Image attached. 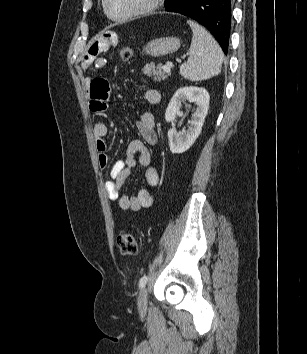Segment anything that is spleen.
Segmentation results:
<instances>
[{
    "instance_id": "spleen-1",
    "label": "spleen",
    "mask_w": 307,
    "mask_h": 354,
    "mask_svg": "<svg viewBox=\"0 0 307 354\" xmlns=\"http://www.w3.org/2000/svg\"><path fill=\"white\" fill-rule=\"evenodd\" d=\"M193 37L189 59L181 65L180 74L191 81L206 80L221 72L223 53L216 40L203 27L188 21Z\"/></svg>"
}]
</instances>
